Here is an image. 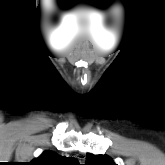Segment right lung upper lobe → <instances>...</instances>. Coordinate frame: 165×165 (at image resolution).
<instances>
[{
    "mask_svg": "<svg viewBox=\"0 0 165 165\" xmlns=\"http://www.w3.org/2000/svg\"><path fill=\"white\" fill-rule=\"evenodd\" d=\"M29 165H80L77 159L62 157L51 151H45L40 157L28 163Z\"/></svg>",
    "mask_w": 165,
    "mask_h": 165,
    "instance_id": "obj_1",
    "label": "right lung upper lobe"
}]
</instances>
